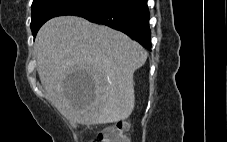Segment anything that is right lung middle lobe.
I'll return each mask as SVG.
<instances>
[{
  "mask_svg": "<svg viewBox=\"0 0 227 142\" xmlns=\"http://www.w3.org/2000/svg\"><path fill=\"white\" fill-rule=\"evenodd\" d=\"M110 0H34L31 29L35 37L40 27L49 19L62 15H79L99 8Z\"/></svg>",
  "mask_w": 227,
  "mask_h": 142,
  "instance_id": "right-lung-middle-lobe-1",
  "label": "right lung middle lobe"
}]
</instances>
